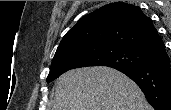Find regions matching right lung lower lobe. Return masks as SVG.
Segmentation results:
<instances>
[{"label":"right lung lower lobe","mask_w":171,"mask_h":110,"mask_svg":"<svg viewBox=\"0 0 171 110\" xmlns=\"http://www.w3.org/2000/svg\"><path fill=\"white\" fill-rule=\"evenodd\" d=\"M117 70L140 87L155 110H171V67L165 45L152 52L145 64Z\"/></svg>","instance_id":"1"}]
</instances>
